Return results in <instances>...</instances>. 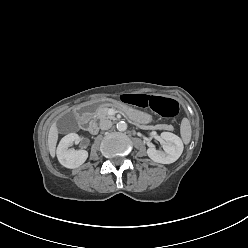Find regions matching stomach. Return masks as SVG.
<instances>
[{
    "instance_id": "stomach-1",
    "label": "stomach",
    "mask_w": 248,
    "mask_h": 248,
    "mask_svg": "<svg viewBox=\"0 0 248 248\" xmlns=\"http://www.w3.org/2000/svg\"><path fill=\"white\" fill-rule=\"evenodd\" d=\"M98 108L101 110H112L115 108L120 114L123 116H129L134 122L139 123H150L151 122V115L147 113H143L137 109H132L131 107L124 106L120 101H113V100H102V101H94L91 102L84 108V111L87 114H91L93 111H96Z\"/></svg>"
}]
</instances>
